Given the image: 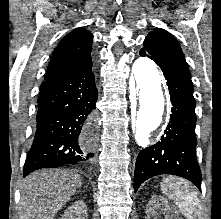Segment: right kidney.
<instances>
[{
  "instance_id": "obj_1",
  "label": "right kidney",
  "mask_w": 221,
  "mask_h": 219,
  "mask_svg": "<svg viewBox=\"0 0 221 219\" xmlns=\"http://www.w3.org/2000/svg\"><path fill=\"white\" fill-rule=\"evenodd\" d=\"M60 219H87V206L82 200L69 206Z\"/></svg>"
}]
</instances>
